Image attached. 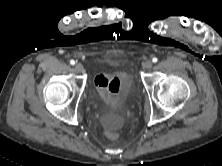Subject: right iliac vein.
<instances>
[{
  "instance_id": "obj_1",
  "label": "right iliac vein",
  "mask_w": 222,
  "mask_h": 166,
  "mask_svg": "<svg viewBox=\"0 0 222 166\" xmlns=\"http://www.w3.org/2000/svg\"><path fill=\"white\" fill-rule=\"evenodd\" d=\"M75 70H76L77 72H82V71L84 70L83 65L80 64V63H77V64L75 65Z\"/></svg>"
}]
</instances>
